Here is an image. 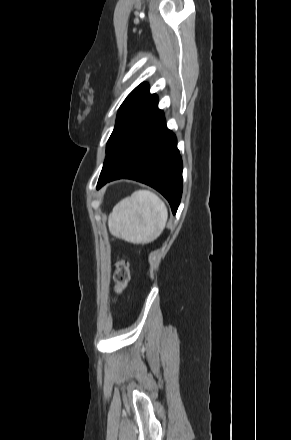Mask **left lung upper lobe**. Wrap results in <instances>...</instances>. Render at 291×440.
Returning a JSON list of instances; mask_svg holds the SVG:
<instances>
[{
    "label": "left lung upper lobe",
    "mask_w": 291,
    "mask_h": 440,
    "mask_svg": "<svg viewBox=\"0 0 291 440\" xmlns=\"http://www.w3.org/2000/svg\"><path fill=\"white\" fill-rule=\"evenodd\" d=\"M156 100L157 96L149 93L147 83H141L128 95L118 111L116 125L107 142L106 152L122 131Z\"/></svg>",
    "instance_id": "obj_1"
}]
</instances>
